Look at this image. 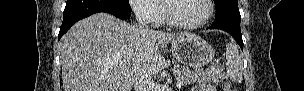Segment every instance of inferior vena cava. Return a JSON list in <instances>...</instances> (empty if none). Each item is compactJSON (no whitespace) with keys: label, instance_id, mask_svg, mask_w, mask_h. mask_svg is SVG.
Here are the masks:
<instances>
[{"label":"inferior vena cava","instance_id":"inferior-vena-cava-1","mask_svg":"<svg viewBox=\"0 0 304 91\" xmlns=\"http://www.w3.org/2000/svg\"><path fill=\"white\" fill-rule=\"evenodd\" d=\"M136 19L140 26H142L143 31L148 32L150 29L145 24L143 18L136 13ZM134 91H154V81L152 79V74L149 72H140L134 79Z\"/></svg>","mask_w":304,"mask_h":91}]
</instances>
